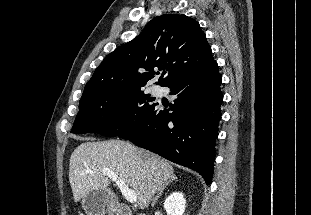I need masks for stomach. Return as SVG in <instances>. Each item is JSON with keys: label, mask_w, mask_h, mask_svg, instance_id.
I'll return each instance as SVG.
<instances>
[{"label": "stomach", "mask_w": 311, "mask_h": 215, "mask_svg": "<svg viewBox=\"0 0 311 215\" xmlns=\"http://www.w3.org/2000/svg\"><path fill=\"white\" fill-rule=\"evenodd\" d=\"M82 207L87 215H115L116 202L109 189H92L82 198Z\"/></svg>", "instance_id": "1"}]
</instances>
